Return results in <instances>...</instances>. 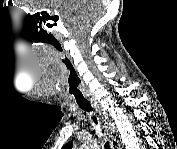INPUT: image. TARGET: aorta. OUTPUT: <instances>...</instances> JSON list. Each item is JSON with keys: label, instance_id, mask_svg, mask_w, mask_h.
<instances>
[{"label": "aorta", "instance_id": "aorta-1", "mask_svg": "<svg viewBox=\"0 0 177 149\" xmlns=\"http://www.w3.org/2000/svg\"><path fill=\"white\" fill-rule=\"evenodd\" d=\"M84 149H100V143L94 142L93 144H87L83 146Z\"/></svg>", "mask_w": 177, "mask_h": 149}]
</instances>
